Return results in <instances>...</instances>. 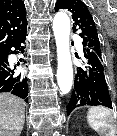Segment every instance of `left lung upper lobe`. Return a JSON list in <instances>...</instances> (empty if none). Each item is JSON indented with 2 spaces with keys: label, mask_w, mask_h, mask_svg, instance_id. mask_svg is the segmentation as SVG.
I'll use <instances>...</instances> for the list:
<instances>
[{
  "label": "left lung upper lobe",
  "mask_w": 117,
  "mask_h": 136,
  "mask_svg": "<svg viewBox=\"0 0 117 136\" xmlns=\"http://www.w3.org/2000/svg\"><path fill=\"white\" fill-rule=\"evenodd\" d=\"M67 9L72 13L73 30H80L83 38V47L88 53L96 55L102 62V51L95 22L88 7L79 0H58L55 11Z\"/></svg>",
  "instance_id": "obj_1"
}]
</instances>
